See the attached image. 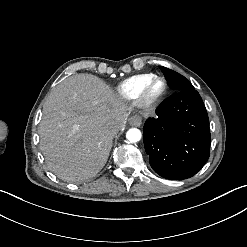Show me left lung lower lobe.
I'll use <instances>...</instances> for the list:
<instances>
[{"instance_id":"obj_1","label":"left lung lower lobe","mask_w":247,"mask_h":247,"mask_svg":"<svg viewBox=\"0 0 247 247\" xmlns=\"http://www.w3.org/2000/svg\"><path fill=\"white\" fill-rule=\"evenodd\" d=\"M144 125V146L153 170L171 180L195 175L210 155V128L199 93L183 90L158 107Z\"/></svg>"}]
</instances>
